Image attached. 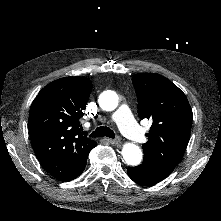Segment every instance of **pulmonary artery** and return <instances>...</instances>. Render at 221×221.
Listing matches in <instances>:
<instances>
[{
	"mask_svg": "<svg viewBox=\"0 0 221 221\" xmlns=\"http://www.w3.org/2000/svg\"><path fill=\"white\" fill-rule=\"evenodd\" d=\"M115 119L121 122V130L137 144L143 143L146 140V130L141 127L133 118H130L131 113L127 107L121 106L115 110Z\"/></svg>",
	"mask_w": 221,
	"mask_h": 221,
	"instance_id": "pulmonary-artery-1",
	"label": "pulmonary artery"
}]
</instances>
